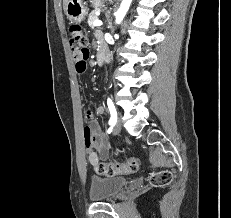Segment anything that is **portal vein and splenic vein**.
Here are the masks:
<instances>
[{"label":"portal vein and splenic vein","mask_w":231,"mask_h":218,"mask_svg":"<svg viewBox=\"0 0 231 218\" xmlns=\"http://www.w3.org/2000/svg\"><path fill=\"white\" fill-rule=\"evenodd\" d=\"M102 21H100V20H95L94 22H93V25L94 26H102Z\"/></svg>","instance_id":"obj_1"}]
</instances>
